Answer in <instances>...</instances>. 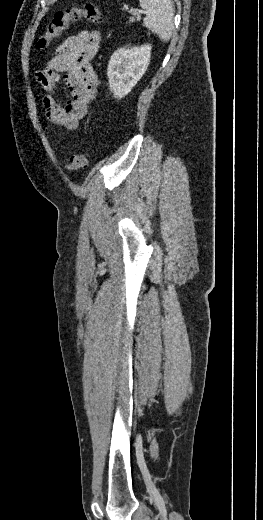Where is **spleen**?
<instances>
[{
  "mask_svg": "<svg viewBox=\"0 0 263 520\" xmlns=\"http://www.w3.org/2000/svg\"><path fill=\"white\" fill-rule=\"evenodd\" d=\"M145 10L144 26L167 42L174 29V8L171 0H139Z\"/></svg>",
  "mask_w": 263,
  "mask_h": 520,
  "instance_id": "spleen-1",
  "label": "spleen"
}]
</instances>
